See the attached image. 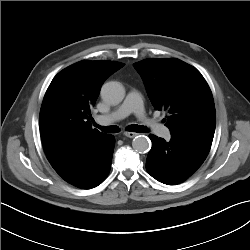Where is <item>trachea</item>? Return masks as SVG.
Returning <instances> with one entry per match:
<instances>
[{
  "mask_svg": "<svg viewBox=\"0 0 250 250\" xmlns=\"http://www.w3.org/2000/svg\"><path fill=\"white\" fill-rule=\"evenodd\" d=\"M94 126L99 128L101 131L105 133H118L120 131L119 127L117 126H100L97 123L94 122ZM128 131L131 132H137V133H146L148 132V129L144 126L140 125H130L127 127Z\"/></svg>",
  "mask_w": 250,
  "mask_h": 250,
  "instance_id": "1",
  "label": "trachea"
}]
</instances>
